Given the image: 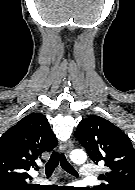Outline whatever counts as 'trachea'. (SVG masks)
I'll use <instances>...</instances> for the list:
<instances>
[{
  "label": "trachea",
  "mask_w": 135,
  "mask_h": 190,
  "mask_svg": "<svg viewBox=\"0 0 135 190\" xmlns=\"http://www.w3.org/2000/svg\"><path fill=\"white\" fill-rule=\"evenodd\" d=\"M60 163L61 167L68 172L71 175L78 176L76 170L69 164L67 159L65 158L63 153H58L54 151L45 165V170H46V175L47 177L51 176L55 168L58 166Z\"/></svg>",
  "instance_id": "obj_1"
}]
</instances>
